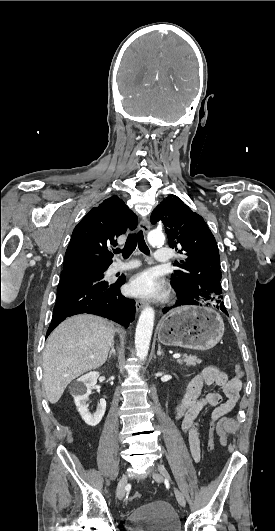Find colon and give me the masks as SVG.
Instances as JSON below:
<instances>
[{
  "instance_id": "1",
  "label": "colon",
  "mask_w": 275,
  "mask_h": 531,
  "mask_svg": "<svg viewBox=\"0 0 275 531\" xmlns=\"http://www.w3.org/2000/svg\"><path fill=\"white\" fill-rule=\"evenodd\" d=\"M234 370H235V373H236V375L238 377H242L243 376V369H242L240 364H238V363L235 364L234 365ZM216 427H217L216 422L211 421V422H209V424L206 427L205 432H204L205 437L209 439L208 446H209L210 450H212L214 448L213 437H214L215 432H216ZM139 498H140V493H135V494H133L131 496L130 500L134 501V500H137Z\"/></svg>"
}]
</instances>
